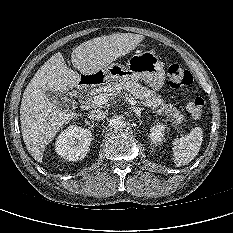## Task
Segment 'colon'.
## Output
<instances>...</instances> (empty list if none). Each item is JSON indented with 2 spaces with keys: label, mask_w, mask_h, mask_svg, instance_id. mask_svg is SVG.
<instances>
[{
  "label": "colon",
  "mask_w": 233,
  "mask_h": 233,
  "mask_svg": "<svg viewBox=\"0 0 233 233\" xmlns=\"http://www.w3.org/2000/svg\"><path fill=\"white\" fill-rule=\"evenodd\" d=\"M168 80L173 88H180L183 86H189L193 82L192 74L185 68L178 64H171L167 69ZM205 101L201 96H195L187 104V111L194 118L201 116Z\"/></svg>",
  "instance_id": "obj_1"
}]
</instances>
